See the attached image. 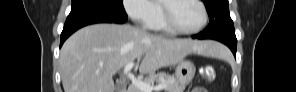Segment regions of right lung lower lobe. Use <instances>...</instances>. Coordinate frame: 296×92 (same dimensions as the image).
I'll return each instance as SVG.
<instances>
[{
  "label": "right lung lower lobe",
  "mask_w": 296,
  "mask_h": 92,
  "mask_svg": "<svg viewBox=\"0 0 296 92\" xmlns=\"http://www.w3.org/2000/svg\"><path fill=\"white\" fill-rule=\"evenodd\" d=\"M127 21V16H120L114 13L106 12L99 9H77L71 10L67 17L63 31L61 33L60 47L63 42L79 28L95 23H118L122 24Z\"/></svg>",
  "instance_id": "right-lung-lower-lobe-1"
}]
</instances>
